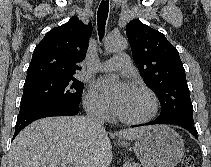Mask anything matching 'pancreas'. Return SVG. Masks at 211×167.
Here are the masks:
<instances>
[{
  "label": "pancreas",
  "instance_id": "obj_1",
  "mask_svg": "<svg viewBox=\"0 0 211 167\" xmlns=\"http://www.w3.org/2000/svg\"><path fill=\"white\" fill-rule=\"evenodd\" d=\"M123 167H141V166L135 162H126Z\"/></svg>",
  "mask_w": 211,
  "mask_h": 167
}]
</instances>
